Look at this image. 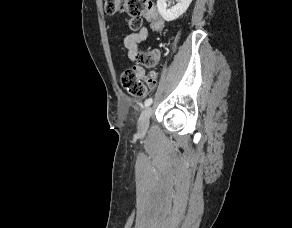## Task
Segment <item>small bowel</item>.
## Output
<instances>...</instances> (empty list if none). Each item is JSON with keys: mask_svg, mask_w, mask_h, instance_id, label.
Returning <instances> with one entry per match:
<instances>
[{"mask_svg": "<svg viewBox=\"0 0 292 228\" xmlns=\"http://www.w3.org/2000/svg\"><path fill=\"white\" fill-rule=\"evenodd\" d=\"M148 38L147 28H141L139 31L129 34L124 38V46L128 50V55L131 60H135V54L138 50L140 43L145 42ZM137 71L141 75H145V69L142 66H136ZM156 86V79L154 77L153 82L149 85L150 89Z\"/></svg>", "mask_w": 292, "mask_h": 228, "instance_id": "small-bowel-1", "label": "small bowel"}]
</instances>
